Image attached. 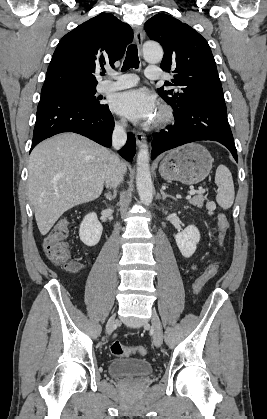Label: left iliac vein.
Segmentation results:
<instances>
[{"mask_svg": "<svg viewBox=\"0 0 267 419\" xmlns=\"http://www.w3.org/2000/svg\"><path fill=\"white\" fill-rule=\"evenodd\" d=\"M151 323L153 327V343L156 347H160L163 341L162 325L159 316L155 311L152 312Z\"/></svg>", "mask_w": 267, "mask_h": 419, "instance_id": "4c4485c4", "label": "left iliac vein"}]
</instances>
